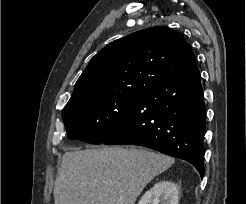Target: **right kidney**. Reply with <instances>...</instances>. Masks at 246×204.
I'll return each instance as SVG.
<instances>
[{
  "instance_id": "right-kidney-1",
  "label": "right kidney",
  "mask_w": 246,
  "mask_h": 204,
  "mask_svg": "<svg viewBox=\"0 0 246 204\" xmlns=\"http://www.w3.org/2000/svg\"><path fill=\"white\" fill-rule=\"evenodd\" d=\"M179 192L175 183L160 181L145 192L137 204H178Z\"/></svg>"
}]
</instances>
